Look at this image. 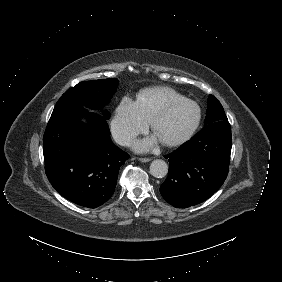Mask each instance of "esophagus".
I'll list each match as a JSON object with an SVG mask.
<instances>
[{
  "label": "esophagus",
  "instance_id": "1",
  "mask_svg": "<svg viewBox=\"0 0 282 282\" xmlns=\"http://www.w3.org/2000/svg\"><path fill=\"white\" fill-rule=\"evenodd\" d=\"M138 160L140 162L147 163V162L151 161V158H144V157H142V158H138Z\"/></svg>",
  "mask_w": 282,
  "mask_h": 282
}]
</instances>
